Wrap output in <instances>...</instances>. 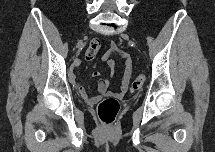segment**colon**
Instances as JSON below:
<instances>
[{"instance_id": "1", "label": "colon", "mask_w": 215, "mask_h": 152, "mask_svg": "<svg viewBox=\"0 0 215 152\" xmlns=\"http://www.w3.org/2000/svg\"><path fill=\"white\" fill-rule=\"evenodd\" d=\"M100 46L101 42L99 39H92L85 52V58L87 60H93L96 57L97 51ZM144 81L145 78L143 75L137 76L131 84V91L137 92L138 90H140ZM119 111L120 103L115 97H106L102 99L97 106L98 117L104 124H112L115 121Z\"/></svg>"}]
</instances>
